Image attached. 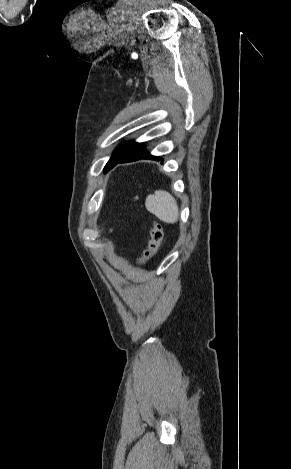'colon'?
<instances>
[{"label":"colon","instance_id":"colon-1","mask_svg":"<svg viewBox=\"0 0 291 469\" xmlns=\"http://www.w3.org/2000/svg\"><path fill=\"white\" fill-rule=\"evenodd\" d=\"M164 238V232L162 226L159 223H154L151 236L148 243L147 249L144 251L142 256L139 257L138 262L142 265L146 264L150 259L157 253L162 245Z\"/></svg>","mask_w":291,"mask_h":469}]
</instances>
